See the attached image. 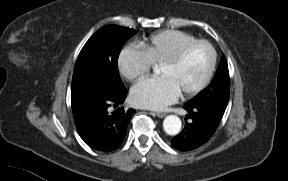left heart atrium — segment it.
<instances>
[{"label":"left heart atrium","mask_w":288,"mask_h":181,"mask_svg":"<svg viewBox=\"0 0 288 181\" xmlns=\"http://www.w3.org/2000/svg\"><path fill=\"white\" fill-rule=\"evenodd\" d=\"M179 93L167 77L158 76L137 83L131 90V99L136 106L160 110L173 103Z\"/></svg>","instance_id":"obj_1"}]
</instances>
